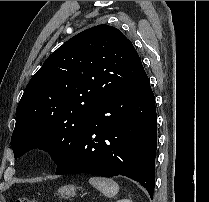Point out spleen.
Segmentation results:
<instances>
[{
    "instance_id": "3e777b00",
    "label": "spleen",
    "mask_w": 209,
    "mask_h": 202,
    "mask_svg": "<svg viewBox=\"0 0 209 202\" xmlns=\"http://www.w3.org/2000/svg\"><path fill=\"white\" fill-rule=\"evenodd\" d=\"M89 183L109 198L114 197L119 192V185L112 179L91 177Z\"/></svg>"
}]
</instances>
